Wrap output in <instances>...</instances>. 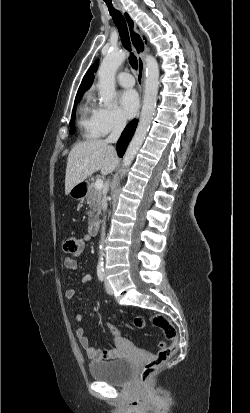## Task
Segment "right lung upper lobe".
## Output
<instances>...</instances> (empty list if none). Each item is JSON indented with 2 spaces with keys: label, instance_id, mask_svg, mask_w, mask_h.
I'll list each match as a JSON object with an SVG mask.
<instances>
[{
  "label": "right lung upper lobe",
  "instance_id": "right-lung-upper-lobe-1",
  "mask_svg": "<svg viewBox=\"0 0 250 413\" xmlns=\"http://www.w3.org/2000/svg\"><path fill=\"white\" fill-rule=\"evenodd\" d=\"M98 62L99 60H96L85 74L76 97L82 96L83 92L89 89V87L92 85V82L94 80V73L96 72L98 67Z\"/></svg>",
  "mask_w": 250,
  "mask_h": 413
}]
</instances>
